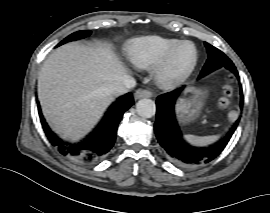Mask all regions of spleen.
Listing matches in <instances>:
<instances>
[{"label":"spleen","instance_id":"1","mask_svg":"<svg viewBox=\"0 0 270 213\" xmlns=\"http://www.w3.org/2000/svg\"><path fill=\"white\" fill-rule=\"evenodd\" d=\"M219 138L218 135L210 136H195V135H185V139L193 145L206 146L215 142Z\"/></svg>","mask_w":270,"mask_h":213}]
</instances>
